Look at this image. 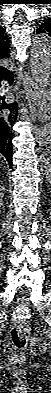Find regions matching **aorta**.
I'll use <instances>...</instances> for the list:
<instances>
[{
  "mask_svg": "<svg viewBox=\"0 0 51 393\" xmlns=\"http://www.w3.org/2000/svg\"><path fill=\"white\" fill-rule=\"evenodd\" d=\"M30 68L33 79L44 91H48L51 79V39L47 35L35 36L32 41ZM40 144L51 141V125L45 124L37 135Z\"/></svg>",
  "mask_w": 51,
  "mask_h": 393,
  "instance_id": "762f6f07",
  "label": "aorta"
}]
</instances>
